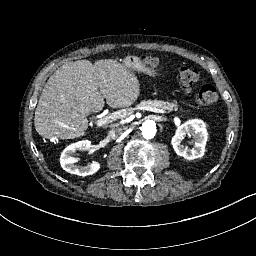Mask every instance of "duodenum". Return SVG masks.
Here are the masks:
<instances>
[{
    "label": "duodenum",
    "mask_w": 256,
    "mask_h": 256,
    "mask_svg": "<svg viewBox=\"0 0 256 256\" xmlns=\"http://www.w3.org/2000/svg\"><path fill=\"white\" fill-rule=\"evenodd\" d=\"M123 69L125 71H140L145 75H152L154 73V65L138 56H129L123 62Z\"/></svg>",
    "instance_id": "duodenum-1"
}]
</instances>
